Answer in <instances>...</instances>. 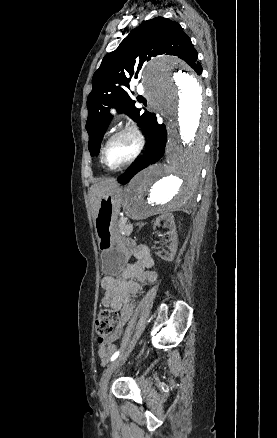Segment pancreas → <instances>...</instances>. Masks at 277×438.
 I'll use <instances>...</instances> for the list:
<instances>
[{"label":"pancreas","instance_id":"cf45deb5","mask_svg":"<svg viewBox=\"0 0 277 438\" xmlns=\"http://www.w3.org/2000/svg\"><path fill=\"white\" fill-rule=\"evenodd\" d=\"M121 228L124 233H131L135 229L131 224H124Z\"/></svg>","mask_w":277,"mask_h":438}]
</instances>
